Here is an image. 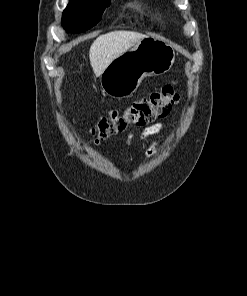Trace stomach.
Listing matches in <instances>:
<instances>
[{"mask_svg": "<svg viewBox=\"0 0 247 296\" xmlns=\"http://www.w3.org/2000/svg\"><path fill=\"white\" fill-rule=\"evenodd\" d=\"M174 61L171 45L147 36L108 65L100 76L101 87L111 97H129L145 77L168 72Z\"/></svg>", "mask_w": 247, "mask_h": 296, "instance_id": "stomach-1", "label": "stomach"}]
</instances>
